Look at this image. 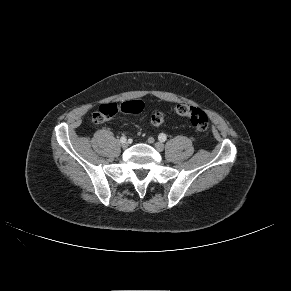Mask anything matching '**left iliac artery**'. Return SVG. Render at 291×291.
Returning <instances> with one entry per match:
<instances>
[{
    "instance_id": "left-iliac-artery-1",
    "label": "left iliac artery",
    "mask_w": 291,
    "mask_h": 291,
    "mask_svg": "<svg viewBox=\"0 0 291 291\" xmlns=\"http://www.w3.org/2000/svg\"><path fill=\"white\" fill-rule=\"evenodd\" d=\"M158 139L161 141V142H165L167 137L164 133H161L159 136H158Z\"/></svg>"
}]
</instances>
